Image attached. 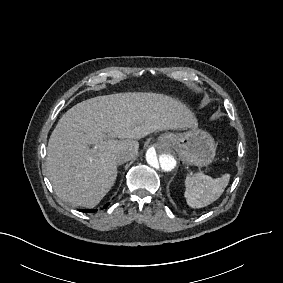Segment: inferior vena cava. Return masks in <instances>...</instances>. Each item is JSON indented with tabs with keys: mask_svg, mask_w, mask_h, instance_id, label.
Returning <instances> with one entry per match:
<instances>
[{
	"mask_svg": "<svg viewBox=\"0 0 283 283\" xmlns=\"http://www.w3.org/2000/svg\"><path fill=\"white\" fill-rule=\"evenodd\" d=\"M137 153H138V149H135V148H132V147L120 150L116 154V163L117 164H123V163L131 160L132 158H134L135 155H137Z\"/></svg>",
	"mask_w": 283,
	"mask_h": 283,
	"instance_id": "1",
	"label": "inferior vena cava"
}]
</instances>
